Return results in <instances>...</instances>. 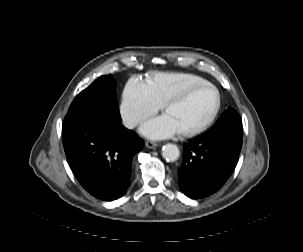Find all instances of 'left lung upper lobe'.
<instances>
[{
	"instance_id": "left-lung-upper-lobe-1",
	"label": "left lung upper lobe",
	"mask_w": 303,
	"mask_h": 252,
	"mask_svg": "<svg viewBox=\"0 0 303 252\" xmlns=\"http://www.w3.org/2000/svg\"><path fill=\"white\" fill-rule=\"evenodd\" d=\"M204 135L208 137H242V123L239 114L233 108H228Z\"/></svg>"
}]
</instances>
